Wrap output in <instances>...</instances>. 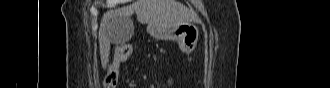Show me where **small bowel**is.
I'll return each mask as SVG.
<instances>
[{"mask_svg":"<svg viewBox=\"0 0 330 88\" xmlns=\"http://www.w3.org/2000/svg\"><path fill=\"white\" fill-rule=\"evenodd\" d=\"M118 52L120 53V55L122 56H128L131 54L132 50L129 51L128 49V46L127 45H121L119 48H118ZM127 57V58H128ZM170 84H172V82H170Z\"/></svg>","mask_w":330,"mask_h":88,"instance_id":"obj_1","label":"small bowel"}]
</instances>
